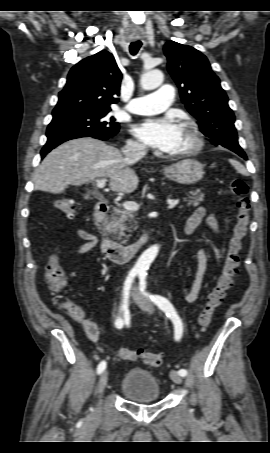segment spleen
Listing matches in <instances>:
<instances>
[{
  "label": "spleen",
  "instance_id": "obj_1",
  "mask_svg": "<svg viewBox=\"0 0 270 453\" xmlns=\"http://www.w3.org/2000/svg\"><path fill=\"white\" fill-rule=\"evenodd\" d=\"M229 162L237 170V172H239L241 174H245L246 173V170H245L244 166L240 162H238L236 160H232V159H230Z\"/></svg>",
  "mask_w": 270,
  "mask_h": 453
}]
</instances>
